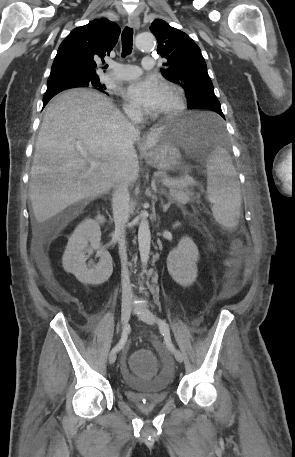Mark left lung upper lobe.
I'll return each mask as SVG.
<instances>
[{
  "instance_id": "left-lung-upper-lobe-1",
  "label": "left lung upper lobe",
  "mask_w": 295,
  "mask_h": 457,
  "mask_svg": "<svg viewBox=\"0 0 295 457\" xmlns=\"http://www.w3.org/2000/svg\"><path fill=\"white\" fill-rule=\"evenodd\" d=\"M150 30L158 41L157 53L166 59L163 77L185 90L190 108L200 101L219 102L198 45L161 19H155Z\"/></svg>"
}]
</instances>
